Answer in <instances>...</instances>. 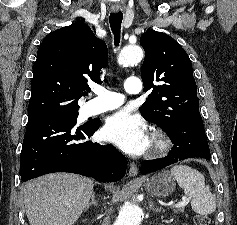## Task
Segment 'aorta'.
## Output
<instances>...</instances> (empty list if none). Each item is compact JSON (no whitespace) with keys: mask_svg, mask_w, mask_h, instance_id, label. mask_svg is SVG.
I'll list each match as a JSON object with an SVG mask.
<instances>
[{"mask_svg":"<svg viewBox=\"0 0 237 225\" xmlns=\"http://www.w3.org/2000/svg\"><path fill=\"white\" fill-rule=\"evenodd\" d=\"M143 58V50L136 45H129L122 49L118 57V63L122 65H136ZM142 210L134 204H126L119 211L113 225H140Z\"/></svg>","mask_w":237,"mask_h":225,"instance_id":"aorta-1","label":"aorta"}]
</instances>
